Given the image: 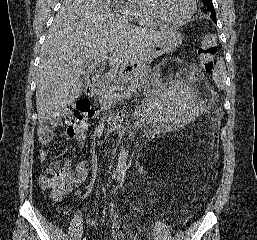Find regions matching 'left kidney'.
Segmentation results:
<instances>
[{
  "instance_id": "obj_1",
  "label": "left kidney",
  "mask_w": 257,
  "mask_h": 240,
  "mask_svg": "<svg viewBox=\"0 0 257 240\" xmlns=\"http://www.w3.org/2000/svg\"><path fill=\"white\" fill-rule=\"evenodd\" d=\"M159 107V118L177 128L183 127L197 116L191 92L181 86L174 87L167 97H162Z\"/></svg>"
}]
</instances>
